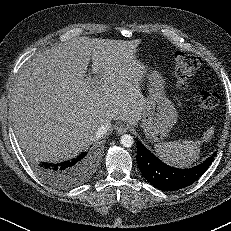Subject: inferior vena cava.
Segmentation results:
<instances>
[{
    "label": "inferior vena cava",
    "instance_id": "1",
    "mask_svg": "<svg viewBox=\"0 0 231 231\" xmlns=\"http://www.w3.org/2000/svg\"><path fill=\"white\" fill-rule=\"evenodd\" d=\"M111 127H112L111 123L102 124L97 131V137L99 138L104 136Z\"/></svg>",
    "mask_w": 231,
    "mask_h": 231
}]
</instances>
